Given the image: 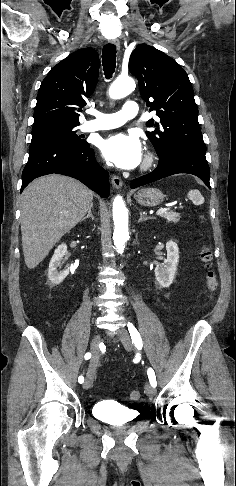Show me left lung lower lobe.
<instances>
[{
    "label": "left lung lower lobe",
    "instance_id": "left-lung-lower-lobe-1",
    "mask_svg": "<svg viewBox=\"0 0 236 486\" xmlns=\"http://www.w3.org/2000/svg\"><path fill=\"white\" fill-rule=\"evenodd\" d=\"M189 173L199 177L209 189L210 169L205 157V151H197L188 148H176L159 157L156 169L131 182V188L151 183L164 177L177 174Z\"/></svg>",
    "mask_w": 236,
    "mask_h": 486
}]
</instances>
